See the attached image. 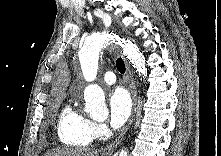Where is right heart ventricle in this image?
Segmentation results:
<instances>
[{
  "label": "right heart ventricle",
  "mask_w": 221,
  "mask_h": 156,
  "mask_svg": "<svg viewBox=\"0 0 221 156\" xmlns=\"http://www.w3.org/2000/svg\"><path fill=\"white\" fill-rule=\"evenodd\" d=\"M89 120L76 111L71 105H66L58 120V136L60 141L70 147L82 148L92 141L89 131Z\"/></svg>",
  "instance_id": "1"
}]
</instances>
